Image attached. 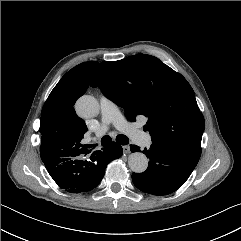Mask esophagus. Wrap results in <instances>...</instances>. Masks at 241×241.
<instances>
[{"label": "esophagus", "instance_id": "1", "mask_svg": "<svg viewBox=\"0 0 241 241\" xmlns=\"http://www.w3.org/2000/svg\"><path fill=\"white\" fill-rule=\"evenodd\" d=\"M122 148H123V152L125 154H129L130 153V146L129 145H124Z\"/></svg>", "mask_w": 241, "mask_h": 241}]
</instances>
